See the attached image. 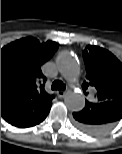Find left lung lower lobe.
<instances>
[{
  "label": "left lung lower lobe",
  "instance_id": "1",
  "mask_svg": "<svg viewBox=\"0 0 122 154\" xmlns=\"http://www.w3.org/2000/svg\"><path fill=\"white\" fill-rule=\"evenodd\" d=\"M74 125L95 135L107 131L122 118V101L89 102L80 112L73 113Z\"/></svg>",
  "mask_w": 122,
  "mask_h": 154
}]
</instances>
